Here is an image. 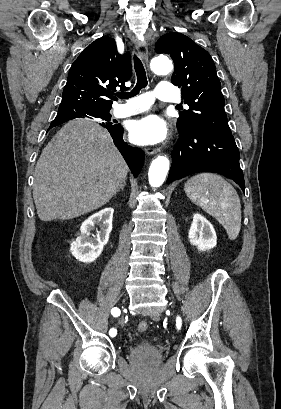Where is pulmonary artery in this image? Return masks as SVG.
<instances>
[{
  "mask_svg": "<svg viewBox=\"0 0 281 409\" xmlns=\"http://www.w3.org/2000/svg\"><path fill=\"white\" fill-rule=\"evenodd\" d=\"M155 96L163 102L175 103L179 96L176 81H161L156 93L147 91L145 94H135L133 96L134 102H123L122 107L116 106L112 111V115L115 118H125L146 110L152 106L151 101Z\"/></svg>",
  "mask_w": 281,
  "mask_h": 409,
  "instance_id": "obj_1",
  "label": "pulmonary artery"
}]
</instances>
